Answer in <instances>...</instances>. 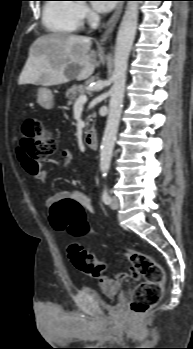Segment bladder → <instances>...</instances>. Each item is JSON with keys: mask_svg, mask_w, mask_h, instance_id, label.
I'll list each match as a JSON object with an SVG mask.
<instances>
[{"mask_svg": "<svg viewBox=\"0 0 193 349\" xmlns=\"http://www.w3.org/2000/svg\"><path fill=\"white\" fill-rule=\"evenodd\" d=\"M84 291L99 305H102L106 308L111 307V305L108 303L109 299L112 300V302H118L121 298L122 294H117L111 298H106L102 295L101 292H99L96 289H92V288H85Z\"/></svg>", "mask_w": 193, "mask_h": 349, "instance_id": "obj_1", "label": "bladder"}]
</instances>
